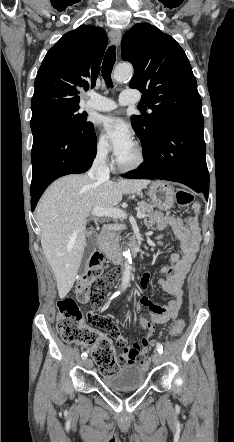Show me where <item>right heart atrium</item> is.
<instances>
[{"instance_id":"right-heart-atrium-1","label":"right heart atrium","mask_w":234,"mask_h":442,"mask_svg":"<svg viewBox=\"0 0 234 442\" xmlns=\"http://www.w3.org/2000/svg\"><path fill=\"white\" fill-rule=\"evenodd\" d=\"M95 157L101 162L110 160L111 148L108 142L103 138H98L94 146Z\"/></svg>"}]
</instances>
